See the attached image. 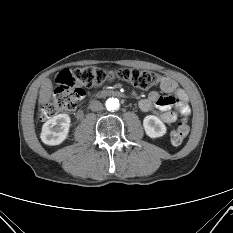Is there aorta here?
Instances as JSON below:
<instances>
[{
	"instance_id": "aorta-1",
	"label": "aorta",
	"mask_w": 233,
	"mask_h": 233,
	"mask_svg": "<svg viewBox=\"0 0 233 233\" xmlns=\"http://www.w3.org/2000/svg\"><path fill=\"white\" fill-rule=\"evenodd\" d=\"M119 105V100L117 98H109L106 101V108L111 111L118 109Z\"/></svg>"
}]
</instances>
